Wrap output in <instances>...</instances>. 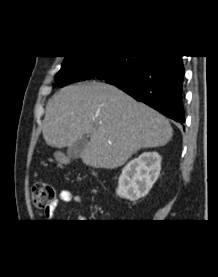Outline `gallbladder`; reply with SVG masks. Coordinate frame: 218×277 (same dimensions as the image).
I'll list each match as a JSON object with an SVG mask.
<instances>
[{
    "mask_svg": "<svg viewBox=\"0 0 218 277\" xmlns=\"http://www.w3.org/2000/svg\"><path fill=\"white\" fill-rule=\"evenodd\" d=\"M88 138L86 136H83L79 139H77L74 144L67 149V155L69 158L75 160L81 157V154L84 150V148L88 144Z\"/></svg>",
    "mask_w": 218,
    "mask_h": 277,
    "instance_id": "bac80fb5",
    "label": "gallbladder"
}]
</instances>
